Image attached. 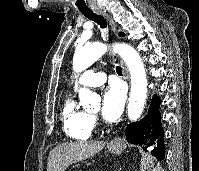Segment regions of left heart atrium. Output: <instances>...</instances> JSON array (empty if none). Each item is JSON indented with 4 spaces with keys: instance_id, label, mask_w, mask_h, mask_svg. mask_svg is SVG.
I'll return each instance as SVG.
<instances>
[{
    "instance_id": "1",
    "label": "left heart atrium",
    "mask_w": 199,
    "mask_h": 171,
    "mask_svg": "<svg viewBox=\"0 0 199 171\" xmlns=\"http://www.w3.org/2000/svg\"><path fill=\"white\" fill-rule=\"evenodd\" d=\"M126 96L119 83L110 85L103 93L101 115L108 122H115L123 112Z\"/></svg>"
}]
</instances>
